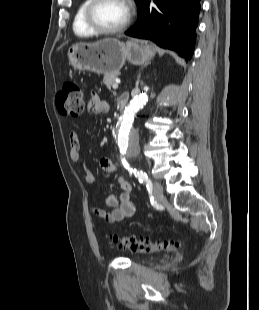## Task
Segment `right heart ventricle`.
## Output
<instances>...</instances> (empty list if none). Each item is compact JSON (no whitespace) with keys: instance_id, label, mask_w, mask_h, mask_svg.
Wrapping results in <instances>:
<instances>
[{"instance_id":"right-heart-ventricle-1","label":"right heart ventricle","mask_w":259,"mask_h":310,"mask_svg":"<svg viewBox=\"0 0 259 310\" xmlns=\"http://www.w3.org/2000/svg\"><path fill=\"white\" fill-rule=\"evenodd\" d=\"M90 0H82L78 5L72 23L73 32L81 38L93 36L94 33L87 27L84 21V12Z\"/></svg>"}]
</instances>
